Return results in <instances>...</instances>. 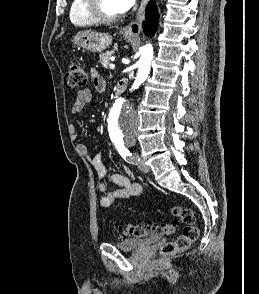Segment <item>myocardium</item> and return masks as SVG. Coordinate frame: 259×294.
<instances>
[{
  "label": "myocardium",
  "instance_id": "1",
  "mask_svg": "<svg viewBox=\"0 0 259 294\" xmlns=\"http://www.w3.org/2000/svg\"><path fill=\"white\" fill-rule=\"evenodd\" d=\"M87 13L97 22V23H113L122 18L123 13L117 15H109L105 13L100 5V0H86Z\"/></svg>",
  "mask_w": 259,
  "mask_h": 294
}]
</instances>
